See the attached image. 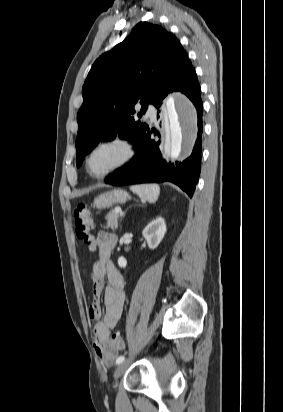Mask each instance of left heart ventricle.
Listing matches in <instances>:
<instances>
[{
	"mask_svg": "<svg viewBox=\"0 0 283 412\" xmlns=\"http://www.w3.org/2000/svg\"><path fill=\"white\" fill-rule=\"evenodd\" d=\"M123 148L110 145L98 149L91 157L90 168L94 173H102L115 165L123 156Z\"/></svg>",
	"mask_w": 283,
	"mask_h": 412,
	"instance_id": "left-heart-ventricle-1",
	"label": "left heart ventricle"
}]
</instances>
